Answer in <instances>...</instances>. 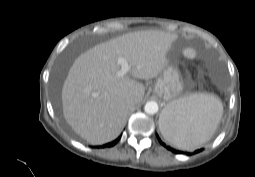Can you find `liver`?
<instances>
[{
  "label": "liver",
  "instance_id": "liver-1",
  "mask_svg": "<svg viewBox=\"0 0 255 177\" xmlns=\"http://www.w3.org/2000/svg\"><path fill=\"white\" fill-rule=\"evenodd\" d=\"M176 39L177 35L163 31H137L81 54L63 84L66 122L92 145L117 138L131 109L127 100L133 99L137 105L145 94L144 85L136 79H152L162 73L168 65L167 53ZM120 57L130 66L129 73L122 77L117 76ZM167 117L166 113L160 116L164 122Z\"/></svg>",
  "mask_w": 255,
  "mask_h": 177
}]
</instances>
